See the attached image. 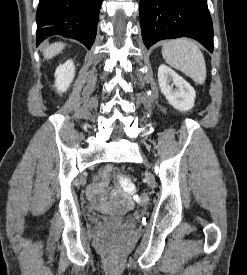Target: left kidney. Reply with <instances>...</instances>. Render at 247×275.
<instances>
[{
	"label": "left kidney",
	"mask_w": 247,
	"mask_h": 275,
	"mask_svg": "<svg viewBox=\"0 0 247 275\" xmlns=\"http://www.w3.org/2000/svg\"><path fill=\"white\" fill-rule=\"evenodd\" d=\"M158 83L161 92L174 108L179 111L193 108L196 97L194 88L170 67L164 64L159 66Z\"/></svg>",
	"instance_id": "obj_1"
}]
</instances>
